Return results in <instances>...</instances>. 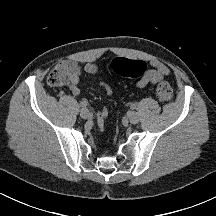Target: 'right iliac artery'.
I'll return each mask as SVG.
<instances>
[{
	"label": "right iliac artery",
	"instance_id": "82829eb1",
	"mask_svg": "<svg viewBox=\"0 0 216 216\" xmlns=\"http://www.w3.org/2000/svg\"><path fill=\"white\" fill-rule=\"evenodd\" d=\"M79 105H80V107L84 108L88 105V102L87 101H81Z\"/></svg>",
	"mask_w": 216,
	"mask_h": 216
}]
</instances>
